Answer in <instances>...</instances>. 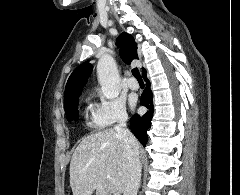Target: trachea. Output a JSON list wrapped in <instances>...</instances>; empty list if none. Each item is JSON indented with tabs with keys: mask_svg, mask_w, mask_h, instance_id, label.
Returning a JSON list of instances; mask_svg holds the SVG:
<instances>
[{
	"mask_svg": "<svg viewBox=\"0 0 240 195\" xmlns=\"http://www.w3.org/2000/svg\"><path fill=\"white\" fill-rule=\"evenodd\" d=\"M132 75L137 79V81L140 83V84H144V81L142 79V76L138 70V68H134L132 70Z\"/></svg>",
	"mask_w": 240,
	"mask_h": 195,
	"instance_id": "1",
	"label": "trachea"
}]
</instances>
